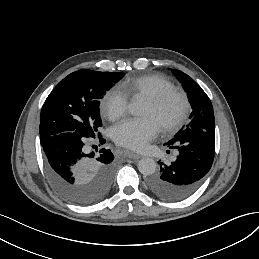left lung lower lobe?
<instances>
[{
	"mask_svg": "<svg viewBox=\"0 0 259 259\" xmlns=\"http://www.w3.org/2000/svg\"><path fill=\"white\" fill-rule=\"evenodd\" d=\"M177 159L170 165L160 163V172L148 179L149 190L168 201H181L194 194L209 172L215 152V131L203 128L183 130L173 144Z\"/></svg>",
	"mask_w": 259,
	"mask_h": 259,
	"instance_id": "obj_1",
	"label": "left lung lower lobe"
}]
</instances>
